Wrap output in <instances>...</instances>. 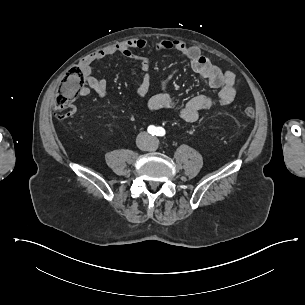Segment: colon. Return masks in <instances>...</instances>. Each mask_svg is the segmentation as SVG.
I'll return each instance as SVG.
<instances>
[{"mask_svg":"<svg viewBox=\"0 0 305 305\" xmlns=\"http://www.w3.org/2000/svg\"><path fill=\"white\" fill-rule=\"evenodd\" d=\"M85 79L83 70L77 66L67 68L57 85V96L54 99L55 109H65L68 104L74 100L78 94ZM243 114L247 118L254 116V109L247 107L243 110Z\"/></svg>","mask_w":305,"mask_h":305,"instance_id":"obj_1","label":"colon"}]
</instances>
